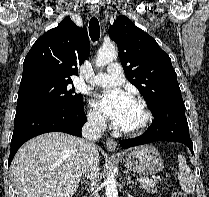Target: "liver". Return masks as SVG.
<instances>
[{
	"label": "liver",
	"instance_id": "1",
	"mask_svg": "<svg viewBox=\"0 0 209 197\" xmlns=\"http://www.w3.org/2000/svg\"><path fill=\"white\" fill-rule=\"evenodd\" d=\"M96 156L99 160L98 151ZM84 160V148L75 136L49 132L30 139L11 165L17 197H72Z\"/></svg>",
	"mask_w": 209,
	"mask_h": 197
}]
</instances>
